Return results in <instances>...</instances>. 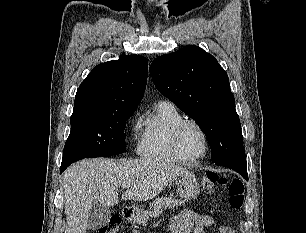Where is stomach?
<instances>
[{"mask_svg":"<svg viewBox=\"0 0 306 233\" xmlns=\"http://www.w3.org/2000/svg\"><path fill=\"white\" fill-rule=\"evenodd\" d=\"M177 190L181 198L184 200H191L197 198L200 193V186L194 174H183L176 182ZM150 213L148 211H137L132 220L136 223L142 224L147 222Z\"/></svg>","mask_w":306,"mask_h":233,"instance_id":"obj_1","label":"stomach"}]
</instances>
